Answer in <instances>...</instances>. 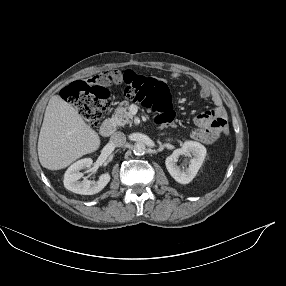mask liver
I'll return each instance as SVG.
<instances>
[{
	"label": "liver",
	"mask_w": 286,
	"mask_h": 286,
	"mask_svg": "<svg viewBox=\"0 0 286 286\" xmlns=\"http://www.w3.org/2000/svg\"><path fill=\"white\" fill-rule=\"evenodd\" d=\"M99 146V135L78 111L59 95L52 96L38 139L41 165L49 170H60L83 155L95 152Z\"/></svg>",
	"instance_id": "6515ba94"
}]
</instances>
